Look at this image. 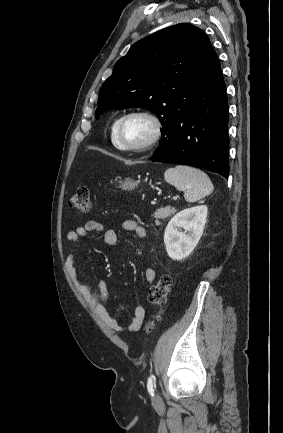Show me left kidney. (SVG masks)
I'll list each match as a JSON object with an SVG mask.
<instances>
[{"label":"left kidney","mask_w":283,"mask_h":433,"mask_svg":"<svg viewBox=\"0 0 283 433\" xmlns=\"http://www.w3.org/2000/svg\"><path fill=\"white\" fill-rule=\"evenodd\" d=\"M207 213L206 205L195 206L180 211L169 221L164 243L171 259L182 260L191 254L203 234Z\"/></svg>","instance_id":"obj_1"}]
</instances>
